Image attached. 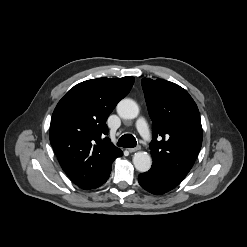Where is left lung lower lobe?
Returning a JSON list of instances; mask_svg holds the SVG:
<instances>
[{"mask_svg": "<svg viewBox=\"0 0 247 247\" xmlns=\"http://www.w3.org/2000/svg\"><path fill=\"white\" fill-rule=\"evenodd\" d=\"M138 181L145 190L155 195L164 194L181 182L157 167H151L148 172L141 173Z\"/></svg>", "mask_w": 247, "mask_h": 247, "instance_id": "1", "label": "left lung lower lobe"}]
</instances>
